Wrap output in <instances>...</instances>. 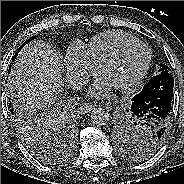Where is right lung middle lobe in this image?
Returning <instances> with one entry per match:
<instances>
[{
  "instance_id": "obj_1",
  "label": "right lung middle lobe",
  "mask_w": 184,
  "mask_h": 184,
  "mask_svg": "<svg viewBox=\"0 0 184 184\" xmlns=\"http://www.w3.org/2000/svg\"><path fill=\"white\" fill-rule=\"evenodd\" d=\"M34 39L35 36L26 40L19 47L18 52ZM16 55L17 53L14 55L13 61ZM10 67L11 65L9 69ZM11 111H13L17 131L29 151L42 162H55L56 159L50 153L51 149L48 147V143L53 139H59L61 134L63 136L66 134L64 133L61 113L51 110L46 114H38L36 108L27 107L26 103H20L16 100Z\"/></svg>"
}]
</instances>
